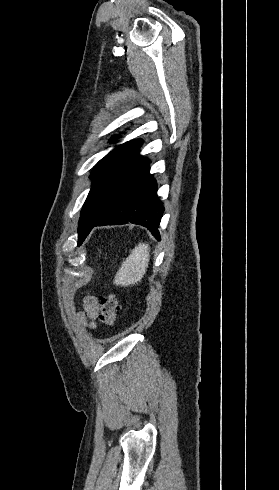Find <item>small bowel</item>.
Instances as JSON below:
<instances>
[{"label":"small bowel","mask_w":279,"mask_h":490,"mask_svg":"<svg viewBox=\"0 0 279 490\" xmlns=\"http://www.w3.org/2000/svg\"><path fill=\"white\" fill-rule=\"evenodd\" d=\"M99 313V303L95 297L88 296L83 301V311L78 314V321L90 330L96 328V318Z\"/></svg>","instance_id":"small-bowel-1"}]
</instances>
